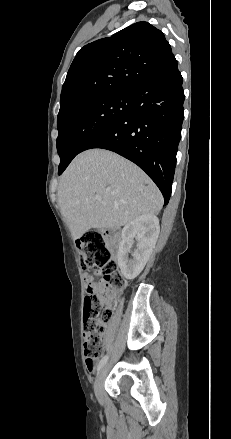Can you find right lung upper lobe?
I'll return each mask as SVG.
<instances>
[{"label":"right lung upper lobe","instance_id":"cb5924a9","mask_svg":"<svg viewBox=\"0 0 231 439\" xmlns=\"http://www.w3.org/2000/svg\"><path fill=\"white\" fill-rule=\"evenodd\" d=\"M176 62L163 32L144 21L89 43L67 73L59 114L92 97L133 94Z\"/></svg>","mask_w":231,"mask_h":439}]
</instances>
